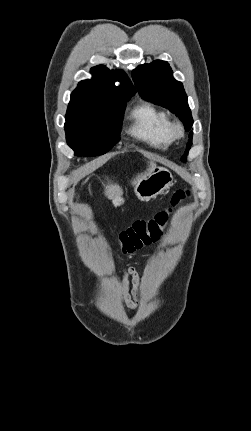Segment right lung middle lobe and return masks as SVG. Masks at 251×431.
Wrapping results in <instances>:
<instances>
[{
  "label": "right lung middle lobe",
  "instance_id": "1",
  "mask_svg": "<svg viewBox=\"0 0 251 431\" xmlns=\"http://www.w3.org/2000/svg\"><path fill=\"white\" fill-rule=\"evenodd\" d=\"M127 101L97 94H71L65 132L67 144L77 156L102 155L119 141Z\"/></svg>",
  "mask_w": 251,
  "mask_h": 431
}]
</instances>
